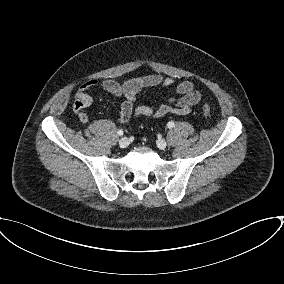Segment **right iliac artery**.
I'll list each match as a JSON object with an SVG mask.
<instances>
[{
	"label": "right iliac artery",
	"mask_w": 284,
	"mask_h": 284,
	"mask_svg": "<svg viewBox=\"0 0 284 284\" xmlns=\"http://www.w3.org/2000/svg\"><path fill=\"white\" fill-rule=\"evenodd\" d=\"M117 134L119 135V136H122L123 135V130H118V132H117Z\"/></svg>",
	"instance_id": "82829eb1"
}]
</instances>
